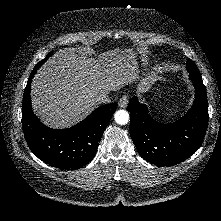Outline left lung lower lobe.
I'll list each match as a JSON object with an SVG mask.
<instances>
[{"label": "left lung lower lobe", "mask_w": 221, "mask_h": 221, "mask_svg": "<svg viewBox=\"0 0 221 221\" xmlns=\"http://www.w3.org/2000/svg\"><path fill=\"white\" fill-rule=\"evenodd\" d=\"M192 82L196 90L194 104L174 123L154 120L136 96L129 101L131 138L146 161L160 167L176 165L192 156L202 144L208 125V102L203 82Z\"/></svg>", "instance_id": "left-lung-lower-lobe-1"}]
</instances>
